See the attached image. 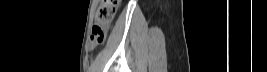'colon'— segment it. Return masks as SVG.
I'll return each mask as SVG.
<instances>
[{
  "label": "colon",
  "mask_w": 267,
  "mask_h": 72,
  "mask_svg": "<svg viewBox=\"0 0 267 72\" xmlns=\"http://www.w3.org/2000/svg\"><path fill=\"white\" fill-rule=\"evenodd\" d=\"M119 0H103L95 14V24L92 27L90 41L96 45L102 44L116 15Z\"/></svg>",
  "instance_id": "colon-1"
}]
</instances>
